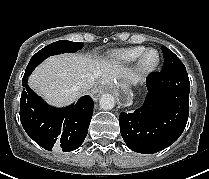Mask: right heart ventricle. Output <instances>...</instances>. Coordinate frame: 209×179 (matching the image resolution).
<instances>
[{
    "instance_id": "1",
    "label": "right heart ventricle",
    "mask_w": 209,
    "mask_h": 179,
    "mask_svg": "<svg viewBox=\"0 0 209 179\" xmlns=\"http://www.w3.org/2000/svg\"><path fill=\"white\" fill-rule=\"evenodd\" d=\"M145 49L144 46L121 48L109 53L108 58L114 64L129 65L137 61Z\"/></svg>"
}]
</instances>
